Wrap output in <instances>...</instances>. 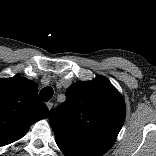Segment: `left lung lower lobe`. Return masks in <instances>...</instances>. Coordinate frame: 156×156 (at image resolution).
Wrapping results in <instances>:
<instances>
[{"instance_id": "0a47b994", "label": "left lung lower lobe", "mask_w": 156, "mask_h": 156, "mask_svg": "<svg viewBox=\"0 0 156 156\" xmlns=\"http://www.w3.org/2000/svg\"><path fill=\"white\" fill-rule=\"evenodd\" d=\"M57 145L59 146V148L61 149V151L66 155V156H86L82 153H79L77 151H74L72 149H68L67 147H65L64 145H62L59 142H56Z\"/></svg>"}]
</instances>
